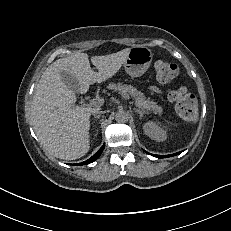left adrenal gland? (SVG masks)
<instances>
[{"mask_svg":"<svg viewBox=\"0 0 231 231\" xmlns=\"http://www.w3.org/2000/svg\"><path fill=\"white\" fill-rule=\"evenodd\" d=\"M134 111L137 112L140 115V118H142L143 115L146 113L145 111L137 109V108H134Z\"/></svg>","mask_w":231,"mask_h":231,"instance_id":"a2214340","label":"left adrenal gland"}]
</instances>
